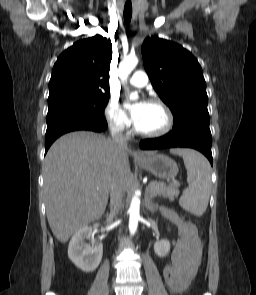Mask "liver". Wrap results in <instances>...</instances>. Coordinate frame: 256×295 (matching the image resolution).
I'll use <instances>...</instances> for the list:
<instances>
[{
  "mask_svg": "<svg viewBox=\"0 0 256 295\" xmlns=\"http://www.w3.org/2000/svg\"><path fill=\"white\" fill-rule=\"evenodd\" d=\"M129 154L89 131L68 133L52 144L42 167L44 196L49 226L61 243L102 217L114 176L124 191L129 188Z\"/></svg>",
  "mask_w": 256,
  "mask_h": 295,
  "instance_id": "liver-1",
  "label": "liver"
}]
</instances>
